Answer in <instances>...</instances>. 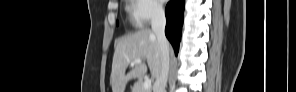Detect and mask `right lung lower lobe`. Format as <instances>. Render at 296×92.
I'll list each match as a JSON object with an SVG mask.
<instances>
[{
	"instance_id": "right-lung-lower-lobe-1",
	"label": "right lung lower lobe",
	"mask_w": 296,
	"mask_h": 92,
	"mask_svg": "<svg viewBox=\"0 0 296 92\" xmlns=\"http://www.w3.org/2000/svg\"><path fill=\"white\" fill-rule=\"evenodd\" d=\"M184 2V0L170 1L168 2L165 9V15L167 20L165 34L168 40L171 42L176 55L179 51V43L181 39Z\"/></svg>"
}]
</instances>
